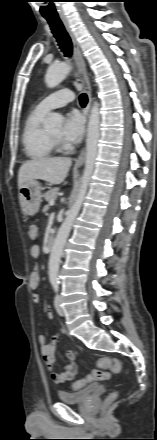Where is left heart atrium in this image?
Instances as JSON below:
<instances>
[{"label":"left heart atrium","instance_id":"obj_1","mask_svg":"<svg viewBox=\"0 0 157 440\" xmlns=\"http://www.w3.org/2000/svg\"><path fill=\"white\" fill-rule=\"evenodd\" d=\"M84 134V120L78 114H69L65 117L61 137L67 142H77Z\"/></svg>","mask_w":157,"mask_h":440}]
</instances>
